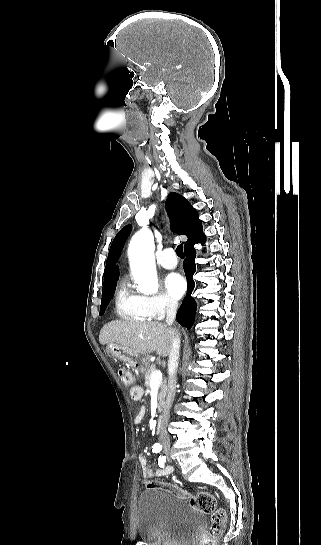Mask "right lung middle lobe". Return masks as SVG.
I'll list each match as a JSON object with an SVG mask.
<instances>
[{
	"instance_id": "right-lung-middle-lobe-1",
	"label": "right lung middle lobe",
	"mask_w": 321,
	"mask_h": 545,
	"mask_svg": "<svg viewBox=\"0 0 321 545\" xmlns=\"http://www.w3.org/2000/svg\"><path fill=\"white\" fill-rule=\"evenodd\" d=\"M115 288H116V285L108 287L106 289H103V291H102V302H101L100 313H99L100 315L104 314L105 309H106L107 305L110 302V299L112 298V296L114 294Z\"/></svg>"
}]
</instances>
